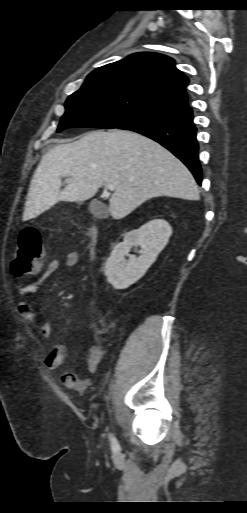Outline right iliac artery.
Instances as JSON below:
<instances>
[{
    "mask_svg": "<svg viewBox=\"0 0 247 513\" xmlns=\"http://www.w3.org/2000/svg\"><path fill=\"white\" fill-rule=\"evenodd\" d=\"M109 439L111 442L112 451L117 452L119 450V443H118L117 439L112 434H109Z\"/></svg>",
    "mask_w": 247,
    "mask_h": 513,
    "instance_id": "82829eb1",
    "label": "right iliac artery"
}]
</instances>
